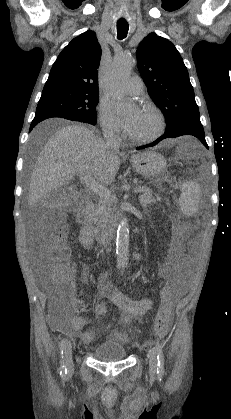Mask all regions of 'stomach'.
Segmentation results:
<instances>
[{
	"instance_id": "1",
	"label": "stomach",
	"mask_w": 231,
	"mask_h": 419,
	"mask_svg": "<svg viewBox=\"0 0 231 419\" xmlns=\"http://www.w3.org/2000/svg\"><path fill=\"white\" fill-rule=\"evenodd\" d=\"M131 164L135 171L153 182H162L166 170L165 158L155 151L134 154Z\"/></svg>"
}]
</instances>
